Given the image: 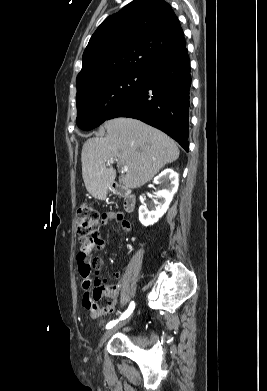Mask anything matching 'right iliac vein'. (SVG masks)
I'll use <instances>...</instances> for the list:
<instances>
[{"label":"right iliac vein","mask_w":267,"mask_h":391,"mask_svg":"<svg viewBox=\"0 0 267 391\" xmlns=\"http://www.w3.org/2000/svg\"><path fill=\"white\" fill-rule=\"evenodd\" d=\"M130 318H131V317H129V318L126 319L125 321L119 323V324L116 325L115 327H112V328H110L109 330H107V331L103 334V336H102V338H101V340H100V342H99V348H101V347L103 346V344H104V343L107 341V339L112 335V333H114L117 329H119L120 327H122L123 325H125V324L130 320Z\"/></svg>","instance_id":"1"}]
</instances>
